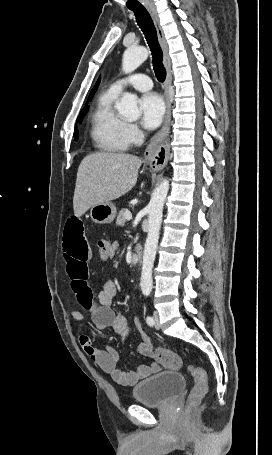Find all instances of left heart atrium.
Listing matches in <instances>:
<instances>
[{
  "instance_id": "39dd6f15",
  "label": "left heart atrium",
  "mask_w": 272,
  "mask_h": 455,
  "mask_svg": "<svg viewBox=\"0 0 272 455\" xmlns=\"http://www.w3.org/2000/svg\"><path fill=\"white\" fill-rule=\"evenodd\" d=\"M139 105L142 112V125L147 129L157 128L165 113V105L161 96L154 92L146 93L141 97Z\"/></svg>"
}]
</instances>
